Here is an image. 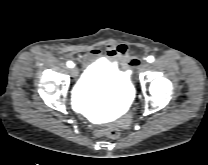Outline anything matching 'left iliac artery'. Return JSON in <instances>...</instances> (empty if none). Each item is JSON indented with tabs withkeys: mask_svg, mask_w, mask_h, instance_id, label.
Returning a JSON list of instances; mask_svg holds the SVG:
<instances>
[{
	"mask_svg": "<svg viewBox=\"0 0 208 165\" xmlns=\"http://www.w3.org/2000/svg\"><path fill=\"white\" fill-rule=\"evenodd\" d=\"M147 61H148L149 63L153 62V61H154V57H153V56H149V57L147 58Z\"/></svg>",
	"mask_w": 208,
	"mask_h": 165,
	"instance_id": "obj_1",
	"label": "left iliac artery"
}]
</instances>
